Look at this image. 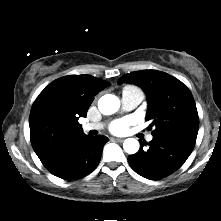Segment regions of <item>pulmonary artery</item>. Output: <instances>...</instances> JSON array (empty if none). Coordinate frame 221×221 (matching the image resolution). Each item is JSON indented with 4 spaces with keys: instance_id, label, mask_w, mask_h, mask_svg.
Listing matches in <instances>:
<instances>
[{
    "instance_id": "1",
    "label": "pulmonary artery",
    "mask_w": 221,
    "mask_h": 221,
    "mask_svg": "<svg viewBox=\"0 0 221 221\" xmlns=\"http://www.w3.org/2000/svg\"><path fill=\"white\" fill-rule=\"evenodd\" d=\"M144 99V94L141 90L137 88L124 89L121 97L122 109L125 111H130L136 108ZM103 123H85L82 125V130L88 132L91 130H100L103 128ZM153 139L152 135L147 136V140L151 141Z\"/></svg>"
}]
</instances>
